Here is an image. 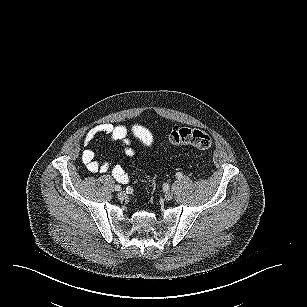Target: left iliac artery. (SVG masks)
Masks as SVG:
<instances>
[{"label":"left iliac artery","instance_id":"1","mask_svg":"<svg viewBox=\"0 0 307 307\" xmlns=\"http://www.w3.org/2000/svg\"><path fill=\"white\" fill-rule=\"evenodd\" d=\"M183 177V174L181 172L176 173V178L181 179Z\"/></svg>","mask_w":307,"mask_h":307}]
</instances>
